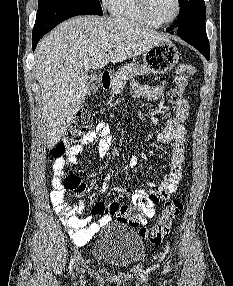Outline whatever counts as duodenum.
<instances>
[{
  "instance_id": "obj_1",
  "label": "duodenum",
  "mask_w": 233,
  "mask_h": 286,
  "mask_svg": "<svg viewBox=\"0 0 233 286\" xmlns=\"http://www.w3.org/2000/svg\"><path fill=\"white\" fill-rule=\"evenodd\" d=\"M112 83V74L109 71H104L100 77V84L103 89H108Z\"/></svg>"
}]
</instances>
